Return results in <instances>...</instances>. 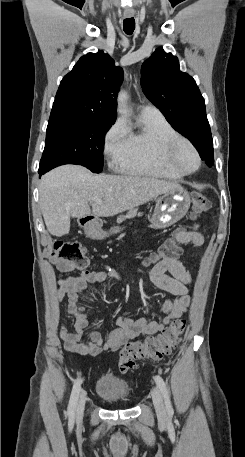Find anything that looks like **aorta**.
<instances>
[{
  "mask_svg": "<svg viewBox=\"0 0 245 457\" xmlns=\"http://www.w3.org/2000/svg\"><path fill=\"white\" fill-rule=\"evenodd\" d=\"M127 99L128 95L125 91H121L118 95L117 102H118V112L121 115H126L128 114L127 110Z\"/></svg>",
  "mask_w": 245,
  "mask_h": 457,
  "instance_id": "762f6f07",
  "label": "aorta"
}]
</instances>
